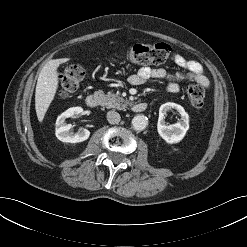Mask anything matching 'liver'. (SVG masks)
<instances>
[{
	"label": "liver",
	"instance_id": "6515ba94",
	"mask_svg": "<svg viewBox=\"0 0 247 247\" xmlns=\"http://www.w3.org/2000/svg\"><path fill=\"white\" fill-rule=\"evenodd\" d=\"M69 60L70 58L50 60L39 74L35 92V109L39 122L43 121L58 89L57 69L60 64Z\"/></svg>",
	"mask_w": 247,
	"mask_h": 247
}]
</instances>
